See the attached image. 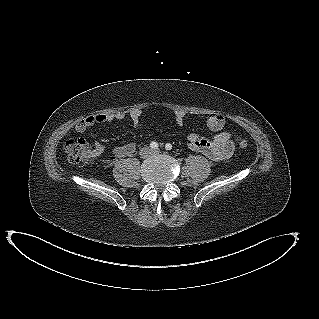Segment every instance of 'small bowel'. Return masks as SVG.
I'll list each match as a JSON object with an SVG mask.
<instances>
[{
	"label": "small bowel",
	"mask_w": 319,
	"mask_h": 319,
	"mask_svg": "<svg viewBox=\"0 0 319 319\" xmlns=\"http://www.w3.org/2000/svg\"><path fill=\"white\" fill-rule=\"evenodd\" d=\"M174 118L178 125L182 126L187 120V113L183 110L174 111ZM141 116L142 111L140 109H134L129 113V117L135 128H141ZM126 117L125 112H109L99 113L86 117L75 126V130L78 133L85 132L88 128L99 123L113 122L116 120H123ZM206 123L210 130L214 132L213 137L207 138L199 136L196 133H190L187 136L188 147L203 154L213 161H224L229 159L235 149L234 142L232 141V134L224 130L225 119L221 114L211 113L206 116ZM105 150V146L99 140L94 142V148L92 151L93 156H100ZM136 151V145L133 142L127 143L123 146L113 147L110 150L111 155L109 160L116 158H124L132 156Z\"/></svg>",
	"instance_id": "obj_1"
}]
</instances>
